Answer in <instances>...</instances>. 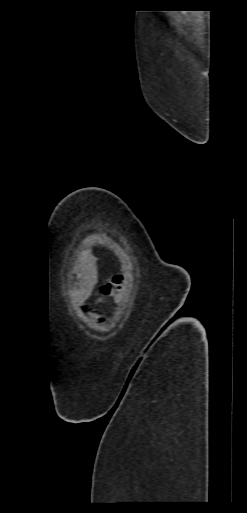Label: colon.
I'll use <instances>...</instances> for the list:
<instances>
[{
  "mask_svg": "<svg viewBox=\"0 0 247 513\" xmlns=\"http://www.w3.org/2000/svg\"><path fill=\"white\" fill-rule=\"evenodd\" d=\"M121 279V274H114L104 285H102L101 291L105 294H109L114 288H119Z\"/></svg>",
  "mask_w": 247,
  "mask_h": 513,
  "instance_id": "1",
  "label": "colon"
}]
</instances>
